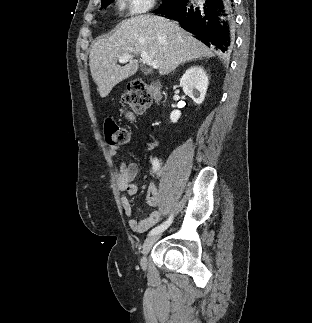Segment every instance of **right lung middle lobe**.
<instances>
[{"mask_svg":"<svg viewBox=\"0 0 312 323\" xmlns=\"http://www.w3.org/2000/svg\"><path fill=\"white\" fill-rule=\"evenodd\" d=\"M113 0H109L106 3H102V8L106 6L107 4L111 3ZM180 0H162V4L160 6V9H165V8H171L173 7L176 3H178Z\"/></svg>","mask_w":312,"mask_h":323,"instance_id":"1","label":"right lung middle lobe"}]
</instances>
